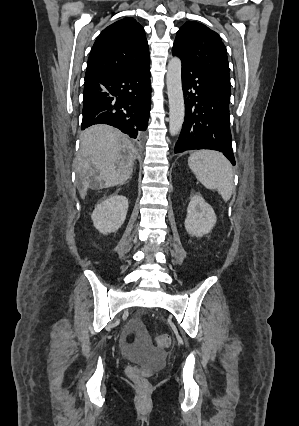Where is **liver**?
Here are the masks:
<instances>
[{
    "instance_id": "liver-1",
    "label": "liver",
    "mask_w": 299,
    "mask_h": 426,
    "mask_svg": "<svg viewBox=\"0 0 299 426\" xmlns=\"http://www.w3.org/2000/svg\"><path fill=\"white\" fill-rule=\"evenodd\" d=\"M136 156V149L119 130L108 125L86 129L76 158L81 198H85L89 188L124 184L132 174Z\"/></svg>"
}]
</instances>
